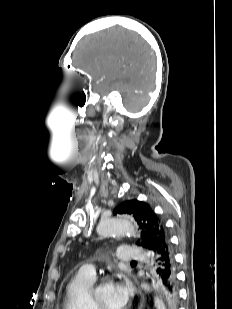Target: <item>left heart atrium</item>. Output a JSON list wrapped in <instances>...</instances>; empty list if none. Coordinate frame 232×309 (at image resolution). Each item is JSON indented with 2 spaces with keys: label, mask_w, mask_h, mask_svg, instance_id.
Listing matches in <instances>:
<instances>
[{
  "label": "left heart atrium",
  "mask_w": 232,
  "mask_h": 309,
  "mask_svg": "<svg viewBox=\"0 0 232 309\" xmlns=\"http://www.w3.org/2000/svg\"><path fill=\"white\" fill-rule=\"evenodd\" d=\"M116 285H117L119 300L124 306H126L129 300V288L127 285L123 283H116Z\"/></svg>",
  "instance_id": "obj_1"
}]
</instances>
